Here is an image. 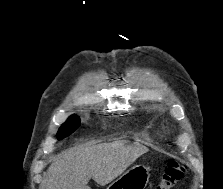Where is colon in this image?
Masks as SVG:
<instances>
[{
  "label": "colon",
  "instance_id": "5ec220e1",
  "mask_svg": "<svg viewBox=\"0 0 223 189\" xmlns=\"http://www.w3.org/2000/svg\"><path fill=\"white\" fill-rule=\"evenodd\" d=\"M184 174L182 165L174 159L167 162L160 183L154 189H172Z\"/></svg>",
  "mask_w": 223,
  "mask_h": 189
}]
</instances>
